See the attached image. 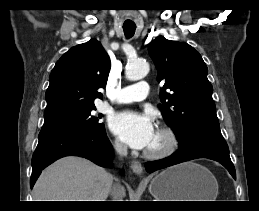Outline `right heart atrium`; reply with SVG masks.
Segmentation results:
<instances>
[{
	"label": "right heart atrium",
	"instance_id": "1",
	"mask_svg": "<svg viewBox=\"0 0 259 211\" xmlns=\"http://www.w3.org/2000/svg\"><path fill=\"white\" fill-rule=\"evenodd\" d=\"M113 146L115 148V150L118 152V153H123L125 151V146L123 145V143L116 139L113 143Z\"/></svg>",
	"mask_w": 259,
	"mask_h": 211
}]
</instances>
